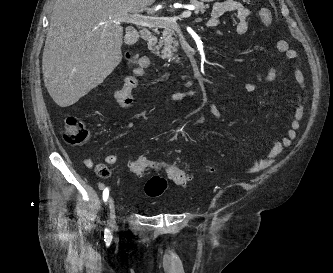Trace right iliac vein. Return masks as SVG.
<instances>
[{
    "label": "right iliac vein",
    "mask_w": 333,
    "mask_h": 273,
    "mask_svg": "<svg viewBox=\"0 0 333 273\" xmlns=\"http://www.w3.org/2000/svg\"><path fill=\"white\" fill-rule=\"evenodd\" d=\"M109 226L112 232H115L118 229L115 216V202L113 197L109 198Z\"/></svg>",
    "instance_id": "obj_1"
}]
</instances>
